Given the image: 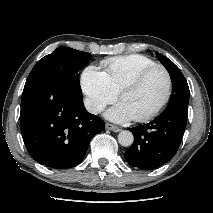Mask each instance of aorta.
<instances>
[{"mask_svg":"<svg viewBox=\"0 0 213 213\" xmlns=\"http://www.w3.org/2000/svg\"><path fill=\"white\" fill-rule=\"evenodd\" d=\"M118 142L124 147L131 146L134 142V136L130 131L123 130L118 135Z\"/></svg>","mask_w":213,"mask_h":213,"instance_id":"obj_1","label":"aorta"}]
</instances>
